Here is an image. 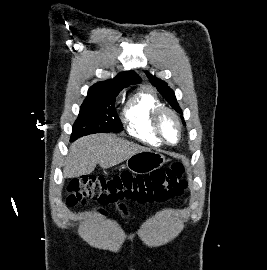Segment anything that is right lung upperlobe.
<instances>
[{
  "label": "right lung upper lobe",
  "instance_id": "1",
  "mask_svg": "<svg viewBox=\"0 0 267 270\" xmlns=\"http://www.w3.org/2000/svg\"><path fill=\"white\" fill-rule=\"evenodd\" d=\"M141 79L134 71H127L118 74L115 78L98 82L90 87L89 91L114 90L121 91L129 85L140 83Z\"/></svg>",
  "mask_w": 267,
  "mask_h": 270
}]
</instances>
